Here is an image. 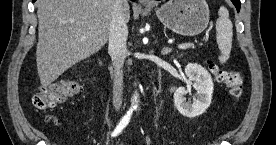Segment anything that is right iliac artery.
<instances>
[{
	"instance_id": "1",
	"label": "right iliac artery",
	"mask_w": 276,
	"mask_h": 145,
	"mask_svg": "<svg viewBox=\"0 0 276 145\" xmlns=\"http://www.w3.org/2000/svg\"><path fill=\"white\" fill-rule=\"evenodd\" d=\"M133 109L130 108L127 113L123 116V118L120 120L119 124L115 128V130L112 132L111 136L115 137L119 135L123 129L128 125L131 115H132Z\"/></svg>"
}]
</instances>
